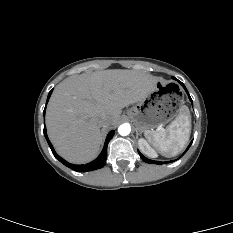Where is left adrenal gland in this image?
I'll list each match as a JSON object with an SVG mask.
<instances>
[{
    "mask_svg": "<svg viewBox=\"0 0 233 233\" xmlns=\"http://www.w3.org/2000/svg\"><path fill=\"white\" fill-rule=\"evenodd\" d=\"M136 136H137V138H138V136H139V133H138V132L136 133Z\"/></svg>",
    "mask_w": 233,
    "mask_h": 233,
    "instance_id": "a2214340",
    "label": "left adrenal gland"
}]
</instances>
